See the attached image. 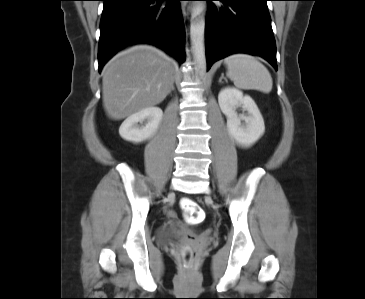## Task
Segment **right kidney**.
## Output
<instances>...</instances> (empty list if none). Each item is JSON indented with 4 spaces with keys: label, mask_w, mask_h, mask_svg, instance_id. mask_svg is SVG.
Here are the masks:
<instances>
[{
    "label": "right kidney",
    "mask_w": 365,
    "mask_h": 299,
    "mask_svg": "<svg viewBox=\"0 0 365 299\" xmlns=\"http://www.w3.org/2000/svg\"><path fill=\"white\" fill-rule=\"evenodd\" d=\"M163 112L159 107H147L130 115L120 126V136L130 142L140 143L152 137L161 121ZM146 122L140 127L138 123Z\"/></svg>",
    "instance_id": "obj_1"
}]
</instances>
